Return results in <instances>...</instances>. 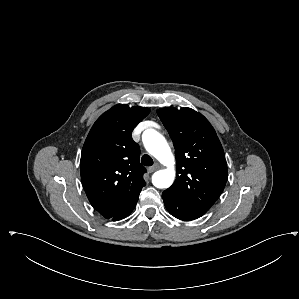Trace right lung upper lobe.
I'll return each mask as SVG.
<instances>
[{
    "instance_id": "1",
    "label": "right lung upper lobe",
    "mask_w": 299,
    "mask_h": 299,
    "mask_svg": "<svg viewBox=\"0 0 299 299\" xmlns=\"http://www.w3.org/2000/svg\"><path fill=\"white\" fill-rule=\"evenodd\" d=\"M145 107L117 104L94 123L84 143L81 179L91 205L106 219L130 206L145 185L133 129L149 114Z\"/></svg>"
}]
</instances>
